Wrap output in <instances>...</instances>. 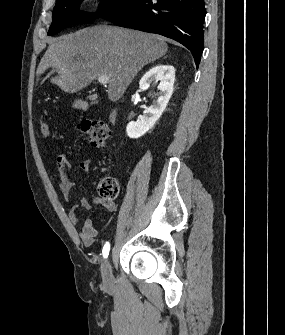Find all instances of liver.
<instances>
[{"instance_id": "1", "label": "liver", "mask_w": 285, "mask_h": 335, "mask_svg": "<svg viewBox=\"0 0 285 335\" xmlns=\"http://www.w3.org/2000/svg\"><path fill=\"white\" fill-rule=\"evenodd\" d=\"M48 44L37 74L54 68L58 76L53 82L67 94L83 90L106 74L110 102H118L138 72L168 52L162 36L118 26L83 28Z\"/></svg>"}]
</instances>
